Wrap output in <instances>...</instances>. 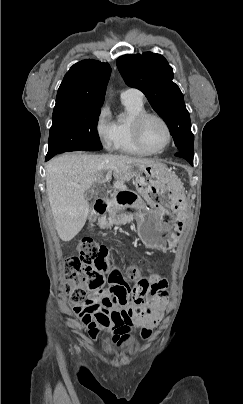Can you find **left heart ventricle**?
<instances>
[{
	"label": "left heart ventricle",
	"mask_w": 243,
	"mask_h": 404,
	"mask_svg": "<svg viewBox=\"0 0 243 404\" xmlns=\"http://www.w3.org/2000/svg\"><path fill=\"white\" fill-rule=\"evenodd\" d=\"M141 137L153 149L164 147L168 141V132L163 122L157 117L147 118L141 125Z\"/></svg>",
	"instance_id": "b2bd125f"
}]
</instances>
